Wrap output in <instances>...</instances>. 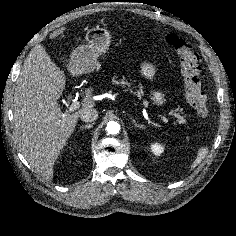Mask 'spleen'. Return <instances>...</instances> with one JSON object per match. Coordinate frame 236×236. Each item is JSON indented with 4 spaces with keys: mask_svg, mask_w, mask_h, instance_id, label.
<instances>
[{
    "mask_svg": "<svg viewBox=\"0 0 236 236\" xmlns=\"http://www.w3.org/2000/svg\"><path fill=\"white\" fill-rule=\"evenodd\" d=\"M207 153H208L207 148L205 147L200 148L197 153V158L194 160L191 167L195 168L206 157Z\"/></svg>",
    "mask_w": 236,
    "mask_h": 236,
    "instance_id": "spleen-1",
    "label": "spleen"
}]
</instances>
